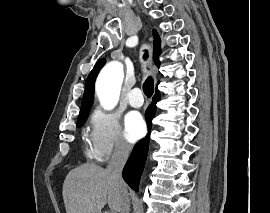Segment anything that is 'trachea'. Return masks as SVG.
<instances>
[{
  "mask_svg": "<svg viewBox=\"0 0 270 213\" xmlns=\"http://www.w3.org/2000/svg\"><path fill=\"white\" fill-rule=\"evenodd\" d=\"M147 53H145L144 55V59L147 58ZM143 91H144V94L150 98L153 94V91H154V80L152 77H148L146 79V81L143 83Z\"/></svg>",
  "mask_w": 270,
  "mask_h": 213,
  "instance_id": "1",
  "label": "trachea"
}]
</instances>
